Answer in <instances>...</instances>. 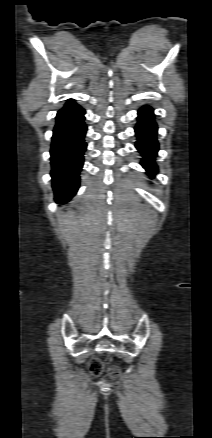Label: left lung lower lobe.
I'll list each match as a JSON object with an SVG mask.
<instances>
[{
  "label": "left lung lower lobe",
  "mask_w": 212,
  "mask_h": 438,
  "mask_svg": "<svg viewBox=\"0 0 212 438\" xmlns=\"http://www.w3.org/2000/svg\"><path fill=\"white\" fill-rule=\"evenodd\" d=\"M138 123L135 127L138 141L136 148L143 155L141 165L146 169L150 176L157 173V167L154 158L158 151V142L156 140L157 125L153 120V109L145 106L139 110Z\"/></svg>",
  "instance_id": "1"
}]
</instances>
